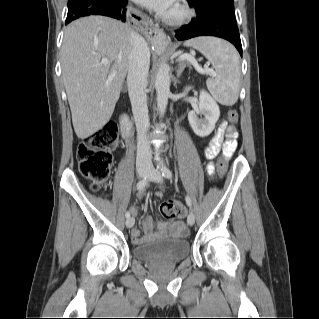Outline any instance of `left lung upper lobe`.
Segmentation results:
<instances>
[{"mask_svg":"<svg viewBox=\"0 0 319 319\" xmlns=\"http://www.w3.org/2000/svg\"><path fill=\"white\" fill-rule=\"evenodd\" d=\"M197 13L198 20L221 18L236 23L233 0H187Z\"/></svg>","mask_w":319,"mask_h":319,"instance_id":"obj_1","label":"left lung upper lobe"}]
</instances>
